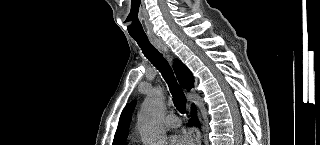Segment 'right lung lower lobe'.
Segmentation results:
<instances>
[{"mask_svg":"<svg viewBox=\"0 0 320 145\" xmlns=\"http://www.w3.org/2000/svg\"><path fill=\"white\" fill-rule=\"evenodd\" d=\"M194 112H196V110H195V108H194ZM193 124H195V125H199V121H198V119L195 117V119L194 120H190L189 121V125H193Z\"/></svg>","mask_w":320,"mask_h":145,"instance_id":"98d812e1","label":"right lung lower lobe"}]
</instances>
